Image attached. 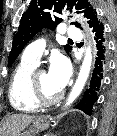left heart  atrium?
<instances>
[{"label": "left heart atrium", "mask_w": 117, "mask_h": 136, "mask_svg": "<svg viewBox=\"0 0 117 136\" xmlns=\"http://www.w3.org/2000/svg\"><path fill=\"white\" fill-rule=\"evenodd\" d=\"M71 68L68 60L63 56L52 58L48 71V76L52 83L62 90L70 76Z\"/></svg>", "instance_id": "obj_1"}]
</instances>
